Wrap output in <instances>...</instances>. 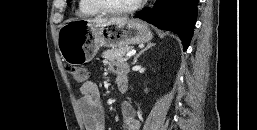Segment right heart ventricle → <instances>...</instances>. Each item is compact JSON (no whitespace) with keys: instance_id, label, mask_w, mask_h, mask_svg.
Masks as SVG:
<instances>
[{"instance_id":"1","label":"right heart ventricle","mask_w":257,"mask_h":130,"mask_svg":"<svg viewBox=\"0 0 257 130\" xmlns=\"http://www.w3.org/2000/svg\"><path fill=\"white\" fill-rule=\"evenodd\" d=\"M77 14L89 17L97 15L98 12L90 7L87 0H78Z\"/></svg>"}]
</instances>
